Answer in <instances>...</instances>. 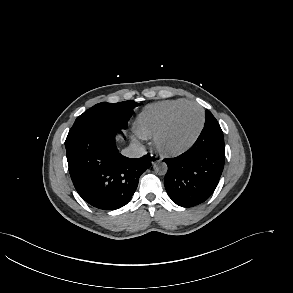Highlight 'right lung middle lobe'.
<instances>
[{
	"label": "right lung middle lobe",
	"mask_w": 293,
	"mask_h": 293,
	"mask_svg": "<svg viewBox=\"0 0 293 293\" xmlns=\"http://www.w3.org/2000/svg\"><path fill=\"white\" fill-rule=\"evenodd\" d=\"M139 104L133 100L115 104L102 102L81 114L70 129L65 146L74 140L104 128H127L128 121L133 114V107Z\"/></svg>",
	"instance_id": "obj_1"
}]
</instances>
